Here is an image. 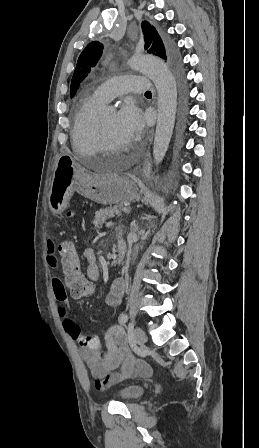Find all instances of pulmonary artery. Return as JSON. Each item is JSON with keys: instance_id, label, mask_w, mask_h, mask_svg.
<instances>
[{"instance_id": "pulmonary-artery-1", "label": "pulmonary artery", "mask_w": 259, "mask_h": 448, "mask_svg": "<svg viewBox=\"0 0 259 448\" xmlns=\"http://www.w3.org/2000/svg\"><path fill=\"white\" fill-rule=\"evenodd\" d=\"M135 76L131 75H122L113 78L111 81L101 84L96 89L97 96L103 101L108 102L113 99L115 96L123 93L126 88L113 85L115 81H125V80H133Z\"/></svg>"}]
</instances>
